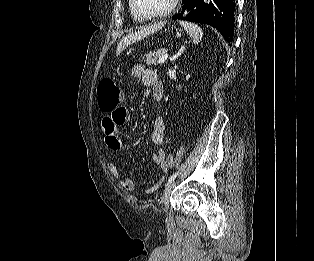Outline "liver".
I'll return each instance as SVG.
<instances>
[{
    "label": "liver",
    "instance_id": "liver-1",
    "mask_svg": "<svg viewBox=\"0 0 314 261\" xmlns=\"http://www.w3.org/2000/svg\"><path fill=\"white\" fill-rule=\"evenodd\" d=\"M155 30V26H150L145 29H142L138 32L130 33L124 36L118 44L116 55H120V53L130 44L139 41Z\"/></svg>",
    "mask_w": 314,
    "mask_h": 261
}]
</instances>
